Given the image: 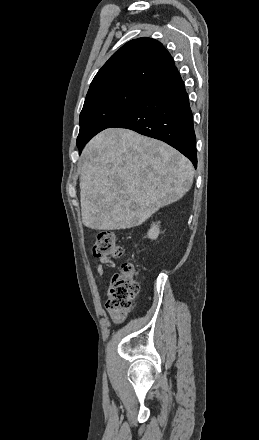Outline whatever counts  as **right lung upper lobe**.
<instances>
[{"instance_id":"right-lung-upper-lobe-1","label":"right lung upper lobe","mask_w":259,"mask_h":440,"mask_svg":"<svg viewBox=\"0 0 259 440\" xmlns=\"http://www.w3.org/2000/svg\"><path fill=\"white\" fill-rule=\"evenodd\" d=\"M175 67L170 53L159 42L142 37L116 51L94 77L85 102L121 90H149Z\"/></svg>"}]
</instances>
